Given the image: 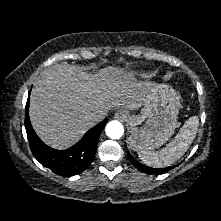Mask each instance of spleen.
Wrapping results in <instances>:
<instances>
[{"mask_svg": "<svg viewBox=\"0 0 221 221\" xmlns=\"http://www.w3.org/2000/svg\"><path fill=\"white\" fill-rule=\"evenodd\" d=\"M199 125L197 116L190 117L175 138L159 151L142 150L138 157L150 167H167L180 159L192 144Z\"/></svg>", "mask_w": 221, "mask_h": 221, "instance_id": "spleen-1", "label": "spleen"}]
</instances>
